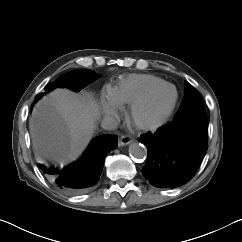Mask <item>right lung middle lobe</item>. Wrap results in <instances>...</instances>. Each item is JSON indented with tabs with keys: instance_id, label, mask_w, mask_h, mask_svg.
<instances>
[{
	"instance_id": "obj_1",
	"label": "right lung middle lobe",
	"mask_w": 242,
	"mask_h": 242,
	"mask_svg": "<svg viewBox=\"0 0 242 242\" xmlns=\"http://www.w3.org/2000/svg\"><path fill=\"white\" fill-rule=\"evenodd\" d=\"M98 77V74L90 70L71 71L58 78V82H52L47 84L45 86V89L47 90V92H49L58 87H67L75 91H80L88 84L95 81ZM43 95H45V93L38 94L35 98V102Z\"/></svg>"
}]
</instances>
